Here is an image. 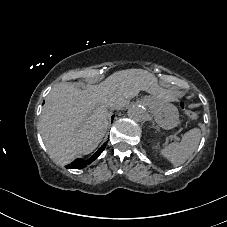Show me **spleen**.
<instances>
[{
	"instance_id": "1",
	"label": "spleen",
	"mask_w": 227,
	"mask_h": 227,
	"mask_svg": "<svg viewBox=\"0 0 227 227\" xmlns=\"http://www.w3.org/2000/svg\"><path fill=\"white\" fill-rule=\"evenodd\" d=\"M201 138L199 129H192L185 133L179 142H174L159 149L160 157L167 160L173 167H179L196 150Z\"/></svg>"
}]
</instances>
